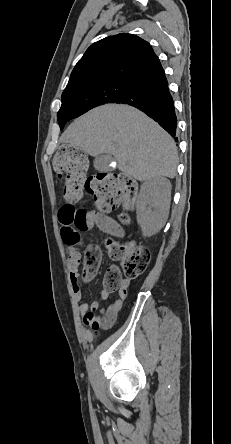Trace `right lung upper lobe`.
Wrapping results in <instances>:
<instances>
[{"instance_id":"1","label":"right lung upper lobe","mask_w":231,"mask_h":444,"mask_svg":"<svg viewBox=\"0 0 231 444\" xmlns=\"http://www.w3.org/2000/svg\"><path fill=\"white\" fill-rule=\"evenodd\" d=\"M163 73L151 45L136 35L123 33L92 44L73 69L65 90L105 83L134 86Z\"/></svg>"}]
</instances>
